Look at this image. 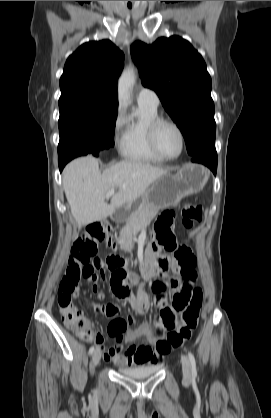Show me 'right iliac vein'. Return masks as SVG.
<instances>
[{
	"label": "right iliac vein",
	"instance_id": "1",
	"mask_svg": "<svg viewBox=\"0 0 271 418\" xmlns=\"http://www.w3.org/2000/svg\"><path fill=\"white\" fill-rule=\"evenodd\" d=\"M100 359H101V352L99 350H96L92 356V363L94 367L98 365Z\"/></svg>",
	"mask_w": 271,
	"mask_h": 418
}]
</instances>
